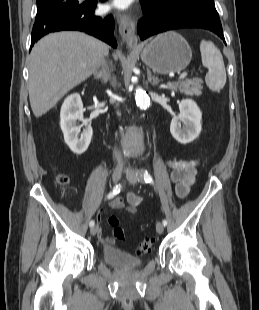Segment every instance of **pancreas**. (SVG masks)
Returning a JSON list of instances; mask_svg holds the SVG:
<instances>
[{
  "mask_svg": "<svg viewBox=\"0 0 259 310\" xmlns=\"http://www.w3.org/2000/svg\"><path fill=\"white\" fill-rule=\"evenodd\" d=\"M202 79L194 78L192 80H184L176 84H171L170 89L173 91H179L185 95L189 96H200L202 94Z\"/></svg>",
  "mask_w": 259,
  "mask_h": 310,
  "instance_id": "1",
  "label": "pancreas"
}]
</instances>
